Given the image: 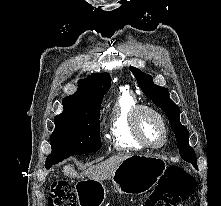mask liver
<instances>
[{
    "mask_svg": "<svg viewBox=\"0 0 221 206\" xmlns=\"http://www.w3.org/2000/svg\"><path fill=\"white\" fill-rule=\"evenodd\" d=\"M130 155L118 154L110 157L109 159L89 167L87 170L81 173V177H88L96 181H103L113 175L117 167ZM64 175L70 177H79L77 171L71 165H65L63 167Z\"/></svg>",
    "mask_w": 221,
    "mask_h": 206,
    "instance_id": "6515ba94",
    "label": "liver"
}]
</instances>
